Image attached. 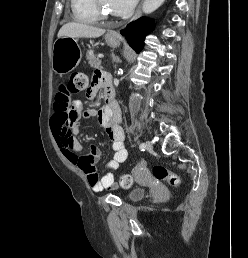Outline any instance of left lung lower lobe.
Here are the masks:
<instances>
[{
  "instance_id": "0a47b994",
  "label": "left lung lower lobe",
  "mask_w": 248,
  "mask_h": 258,
  "mask_svg": "<svg viewBox=\"0 0 248 258\" xmlns=\"http://www.w3.org/2000/svg\"><path fill=\"white\" fill-rule=\"evenodd\" d=\"M152 28V21L142 17L127 25L126 29L121 30V34L125 36L130 46L139 53L144 46L145 36L152 30Z\"/></svg>"
}]
</instances>
